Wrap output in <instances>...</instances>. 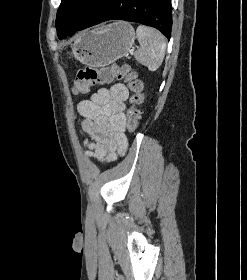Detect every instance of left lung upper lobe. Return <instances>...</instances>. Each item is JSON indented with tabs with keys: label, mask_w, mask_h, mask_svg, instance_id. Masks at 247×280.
Segmentation results:
<instances>
[{
	"label": "left lung upper lobe",
	"mask_w": 247,
	"mask_h": 280,
	"mask_svg": "<svg viewBox=\"0 0 247 280\" xmlns=\"http://www.w3.org/2000/svg\"><path fill=\"white\" fill-rule=\"evenodd\" d=\"M103 0H62L56 17V29L59 39L78 28L89 13Z\"/></svg>",
	"instance_id": "obj_1"
}]
</instances>
